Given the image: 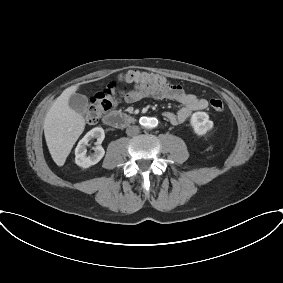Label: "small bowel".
Here are the masks:
<instances>
[{
    "label": "small bowel",
    "instance_id": "c3829d8e",
    "mask_svg": "<svg viewBox=\"0 0 283 283\" xmlns=\"http://www.w3.org/2000/svg\"><path fill=\"white\" fill-rule=\"evenodd\" d=\"M148 95H153L157 99L174 100L181 104V108L176 112H164V117L173 125L184 123L193 112L206 109L208 106L206 99L186 92L180 85L167 84L152 91H145L137 86L128 91L117 90L112 97V107H117L120 102L135 103Z\"/></svg>",
    "mask_w": 283,
    "mask_h": 283
}]
</instances>
